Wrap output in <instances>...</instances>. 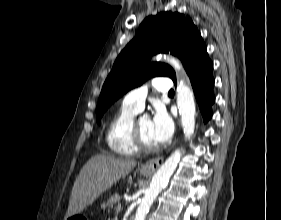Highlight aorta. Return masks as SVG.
I'll list each match as a JSON object with an SVG mask.
<instances>
[{"instance_id":"obj_1","label":"aorta","mask_w":281,"mask_h":220,"mask_svg":"<svg viewBox=\"0 0 281 220\" xmlns=\"http://www.w3.org/2000/svg\"><path fill=\"white\" fill-rule=\"evenodd\" d=\"M162 58L176 71H180L182 69L180 62L174 57L166 55L158 57V59ZM177 105L181 116V125L183 127L185 138L190 139L195 128V102L193 91L183 80L178 82L177 85ZM181 155L182 153L179 149L175 150L155 173L149 188L146 190L145 195L137 208L135 220H145L146 214L148 213L154 200L164 188L172 173L175 171Z\"/></svg>"}]
</instances>
